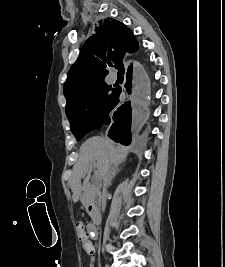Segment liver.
I'll use <instances>...</instances> for the list:
<instances>
[{"mask_svg":"<svg viewBox=\"0 0 225 267\" xmlns=\"http://www.w3.org/2000/svg\"><path fill=\"white\" fill-rule=\"evenodd\" d=\"M128 149L115 146L112 140L104 137H92L85 141L80 148L79 159L74 165L70 187L73 195L72 199L77 202L82 191L85 189L93 165L97 168V179L101 180L108 167L116 165L125 160ZM87 175L83 186L81 177Z\"/></svg>","mask_w":225,"mask_h":267,"instance_id":"obj_1","label":"liver"}]
</instances>
